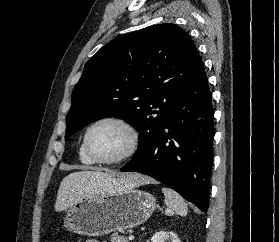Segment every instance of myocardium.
Instances as JSON below:
<instances>
[{"label": "myocardium", "mask_w": 279, "mask_h": 242, "mask_svg": "<svg viewBox=\"0 0 279 242\" xmlns=\"http://www.w3.org/2000/svg\"><path fill=\"white\" fill-rule=\"evenodd\" d=\"M104 123H113L121 126L128 133L129 142L126 150L119 156L110 159H100L93 155L89 147V138L91 132L99 125ZM140 143V135L137 128L127 119L117 116H105L95 120L87 128L83 138V148L88 158L96 164L115 165L120 164L135 155Z\"/></svg>", "instance_id": "1"}]
</instances>
